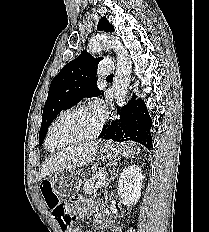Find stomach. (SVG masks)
I'll list each match as a JSON object with an SVG mask.
<instances>
[{
  "label": "stomach",
  "instance_id": "0dacf381",
  "mask_svg": "<svg viewBox=\"0 0 209 232\" xmlns=\"http://www.w3.org/2000/svg\"><path fill=\"white\" fill-rule=\"evenodd\" d=\"M133 153L131 143L114 144L108 141L101 146V154L104 158L115 159L118 155L130 156ZM80 171L63 170L55 171V175L51 180V187L58 195H63L65 199L71 197L76 191H79L80 183L84 182L83 178H79Z\"/></svg>",
  "mask_w": 209,
  "mask_h": 232
}]
</instances>
